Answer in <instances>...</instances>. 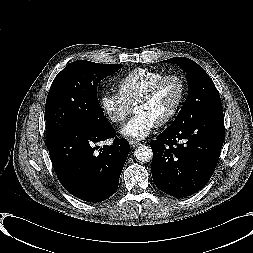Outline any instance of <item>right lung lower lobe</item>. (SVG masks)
I'll use <instances>...</instances> for the list:
<instances>
[{"mask_svg":"<svg viewBox=\"0 0 253 253\" xmlns=\"http://www.w3.org/2000/svg\"><path fill=\"white\" fill-rule=\"evenodd\" d=\"M115 136L109 122L102 126L82 124L47 145L56 175L69 193L84 201L101 202L116 192L129 143L116 138L100 152L96 151L98 146L94 147Z\"/></svg>","mask_w":253,"mask_h":253,"instance_id":"obj_1","label":"right lung lower lobe"}]
</instances>
